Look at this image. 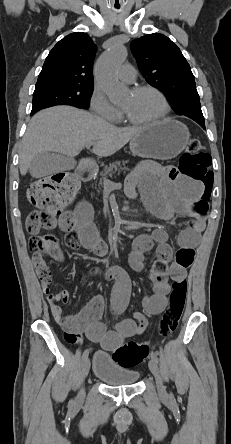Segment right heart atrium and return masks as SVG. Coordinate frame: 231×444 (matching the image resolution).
<instances>
[{
	"label": "right heart atrium",
	"mask_w": 231,
	"mask_h": 444,
	"mask_svg": "<svg viewBox=\"0 0 231 444\" xmlns=\"http://www.w3.org/2000/svg\"><path fill=\"white\" fill-rule=\"evenodd\" d=\"M90 106L96 115L108 121L116 122L121 117L120 111L109 102L105 94L99 89L93 90L90 97Z\"/></svg>",
	"instance_id": "right-heart-atrium-1"
}]
</instances>
